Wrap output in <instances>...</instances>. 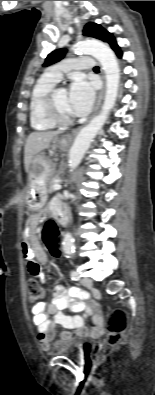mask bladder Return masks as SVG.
<instances>
[{
	"label": "bladder",
	"mask_w": 155,
	"mask_h": 395,
	"mask_svg": "<svg viewBox=\"0 0 155 395\" xmlns=\"http://www.w3.org/2000/svg\"><path fill=\"white\" fill-rule=\"evenodd\" d=\"M91 349V342L70 338L56 341L53 345L52 352L59 356L83 358L90 353Z\"/></svg>",
	"instance_id": "1"
}]
</instances>
